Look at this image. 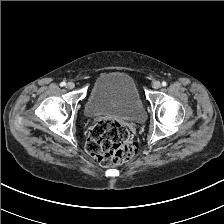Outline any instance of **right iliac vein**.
I'll return each mask as SVG.
<instances>
[{
    "label": "right iliac vein",
    "instance_id": "right-iliac-vein-1",
    "mask_svg": "<svg viewBox=\"0 0 224 224\" xmlns=\"http://www.w3.org/2000/svg\"><path fill=\"white\" fill-rule=\"evenodd\" d=\"M67 89H73L75 87L74 82L70 81L66 84Z\"/></svg>",
    "mask_w": 224,
    "mask_h": 224
}]
</instances>
